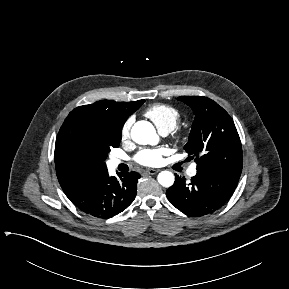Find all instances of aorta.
Returning a JSON list of instances; mask_svg holds the SVG:
<instances>
[{
	"mask_svg": "<svg viewBox=\"0 0 289 289\" xmlns=\"http://www.w3.org/2000/svg\"><path fill=\"white\" fill-rule=\"evenodd\" d=\"M131 137L134 142L141 145H155L158 143V135L153 125L147 121L136 122L131 129ZM157 180L163 187H171L175 181V177L170 171H161Z\"/></svg>",
	"mask_w": 289,
	"mask_h": 289,
	"instance_id": "obj_1",
	"label": "aorta"
}]
</instances>
